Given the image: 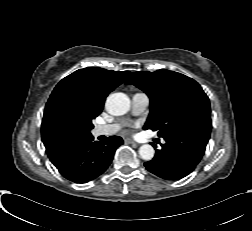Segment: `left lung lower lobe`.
<instances>
[{
    "label": "left lung lower lobe",
    "mask_w": 252,
    "mask_h": 231,
    "mask_svg": "<svg viewBox=\"0 0 252 231\" xmlns=\"http://www.w3.org/2000/svg\"><path fill=\"white\" fill-rule=\"evenodd\" d=\"M210 132L185 129L164 137L166 143L155 157L144 165L151 173L167 179H181L190 174L201 160Z\"/></svg>",
    "instance_id": "0a47b994"
}]
</instances>
